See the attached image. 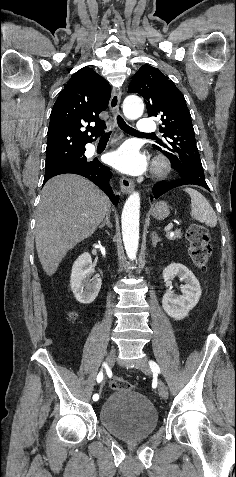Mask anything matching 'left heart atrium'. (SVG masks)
I'll return each mask as SVG.
<instances>
[{
	"label": "left heart atrium",
	"mask_w": 236,
	"mask_h": 477,
	"mask_svg": "<svg viewBox=\"0 0 236 477\" xmlns=\"http://www.w3.org/2000/svg\"><path fill=\"white\" fill-rule=\"evenodd\" d=\"M107 162L117 170L131 174H141L147 166L146 157L134 144L126 143L107 156Z\"/></svg>",
	"instance_id": "left-heart-atrium-1"
}]
</instances>
